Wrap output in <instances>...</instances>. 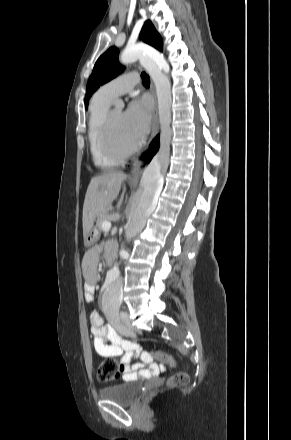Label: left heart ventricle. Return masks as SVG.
Instances as JSON below:
<instances>
[{
	"instance_id": "1",
	"label": "left heart ventricle",
	"mask_w": 291,
	"mask_h": 440,
	"mask_svg": "<svg viewBox=\"0 0 291 440\" xmlns=\"http://www.w3.org/2000/svg\"><path fill=\"white\" fill-rule=\"evenodd\" d=\"M112 138L114 144L122 150L130 148L136 143L129 134L124 114L121 111H113Z\"/></svg>"
}]
</instances>
